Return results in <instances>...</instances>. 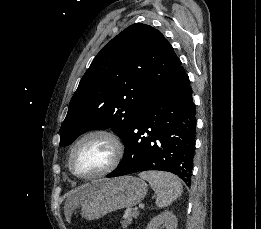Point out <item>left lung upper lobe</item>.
Instances as JSON below:
<instances>
[{
  "label": "left lung upper lobe",
  "instance_id": "left-lung-upper-lobe-1",
  "mask_svg": "<svg viewBox=\"0 0 261 229\" xmlns=\"http://www.w3.org/2000/svg\"><path fill=\"white\" fill-rule=\"evenodd\" d=\"M181 64L159 30L130 25L103 47L83 75L60 128L59 145L107 128L125 143L148 95Z\"/></svg>",
  "mask_w": 261,
  "mask_h": 229
}]
</instances>
